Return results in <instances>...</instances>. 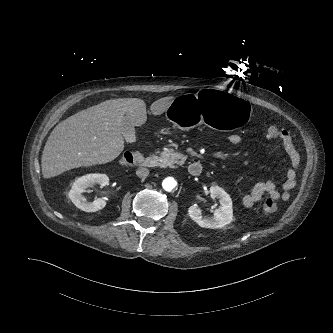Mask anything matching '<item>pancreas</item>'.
<instances>
[{
  "mask_svg": "<svg viewBox=\"0 0 333 333\" xmlns=\"http://www.w3.org/2000/svg\"><path fill=\"white\" fill-rule=\"evenodd\" d=\"M156 154L160 156L159 159L161 161V165L164 167H172L174 164L181 165L186 160V156L181 153L174 152V149L172 148H164L163 151H157Z\"/></svg>",
  "mask_w": 333,
  "mask_h": 333,
  "instance_id": "pancreas-1",
  "label": "pancreas"
}]
</instances>
